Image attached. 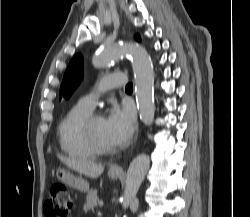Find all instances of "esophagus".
I'll return each instance as SVG.
<instances>
[{
  "label": "esophagus",
  "instance_id": "obj_1",
  "mask_svg": "<svg viewBox=\"0 0 250 217\" xmlns=\"http://www.w3.org/2000/svg\"><path fill=\"white\" fill-rule=\"evenodd\" d=\"M111 170L116 171V172H121L122 171L121 167H119V166H112Z\"/></svg>",
  "mask_w": 250,
  "mask_h": 217
}]
</instances>
